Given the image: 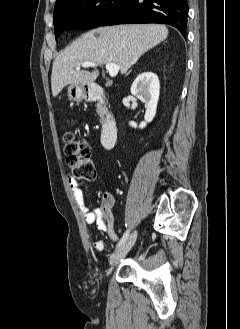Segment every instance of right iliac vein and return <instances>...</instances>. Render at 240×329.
I'll use <instances>...</instances> for the list:
<instances>
[{
	"label": "right iliac vein",
	"mask_w": 240,
	"mask_h": 329,
	"mask_svg": "<svg viewBox=\"0 0 240 329\" xmlns=\"http://www.w3.org/2000/svg\"><path fill=\"white\" fill-rule=\"evenodd\" d=\"M137 238V230H135L128 240L118 249L116 250L110 257V264L118 263L133 247Z\"/></svg>",
	"instance_id": "obj_1"
}]
</instances>
